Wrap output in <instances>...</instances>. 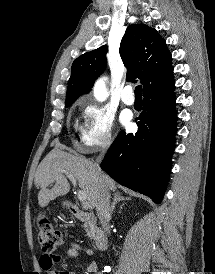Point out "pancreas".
<instances>
[{
	"instance_id": "1",
	"label": "pancreas",
	"mask_w": 215,
	"mask_h": 274,
	"mask_svg": "<svg viewBox=\"0 0 215 274\" xmlns=\"http://www.w3.org/2000/svg\"><path fill=\"white\" fill-rule=\"evenodd\" d=\"M86 230V232L88 233V235L93 238L94 237V233L92 231V227L90 225V223H84V226H83Z\"/></svg>"
}]
</instances>
